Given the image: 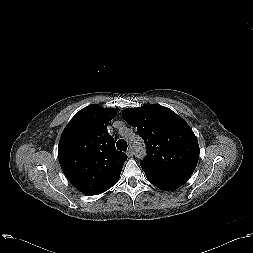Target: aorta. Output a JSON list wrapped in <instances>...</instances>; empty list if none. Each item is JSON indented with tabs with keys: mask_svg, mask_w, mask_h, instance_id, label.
I'll return each mask as SVG.
<instances>
[{
	"mask_svg": "<svg viewBox=\"0 0 253 253\" xmlns=\"http://www.w3.org/2000/svg\"><path fill=\"white\" fill-rule=\"evenodd\" d=\"M131 146L135 149L138 158L145 156V147L143 140L137 135H131L129 138Z\"/></svg>",
	"mask_w": 253,
	"mask_h": 253,
	"instance_id": "762f6f07",
	"label": "aorta"
}]
</instances>
